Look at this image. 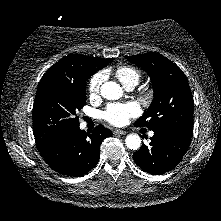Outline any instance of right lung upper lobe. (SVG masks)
<instances>
[{"label":"right lung upper lobe","instance_id":"right-lung-upper-lobe-1","mask_svg":"<svg viewBox=\"0 0 221 221\" xmlns=\"http://www.w3.org/2000/svg\"><path fill=\"white\" fill-rule=\"evenodd\" d=\"M112 61V58L102 59L80 54H70L50 67L42 79H64L72 82L86 81L92 74Z\"/></svg>","mask_w":221,"mask_h":221}]
</instances>
